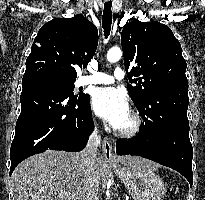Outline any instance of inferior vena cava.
<instances>
[{
    "label": "inferior vena cava",
    "mask_w": 205,
    "mask_h": 200,
    "mask_svg": "<svg viewBox=\"0 0 205 200\" xmlns=\"http://www.w3.org/2000/svg\"><path fill=\"white\" fill-rule=\"evenodd\" d=\"M97 149L98 131L95 128L94 132L89 137L86 147L81 151V170L84 182L82 200H99V181L94 174Z\"/></svg>",
    "instance_id": "1"
}]
</instances>
